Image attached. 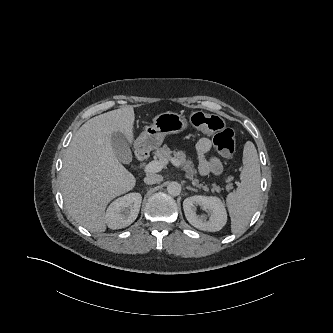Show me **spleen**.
Returning a JSON list of instances; mask_svg holds the SVG:
<instances>
[{"label":"spleen","mask_w":333,"mask_h":333,"mask_svg":"<svg viewBox=\"0 0 333 333\" xmlns=\"http://www.w3.org/2000/svg\"><path fill=\"white\" fill-rule=\"evenodd\" d=\"M240 180L239 187L226 198L233 233L241 232L249 224L260 201V164L257 150L251 141L244 146Z\"/></svg>","instance_id":"spleen-1"}]
</instances>
